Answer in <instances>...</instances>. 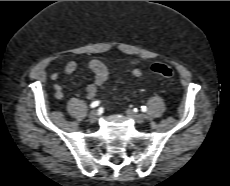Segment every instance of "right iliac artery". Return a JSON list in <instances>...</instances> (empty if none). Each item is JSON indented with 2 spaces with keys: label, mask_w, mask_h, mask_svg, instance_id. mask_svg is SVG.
Listing matches in <instances>:
<instances>
[{
  "label": "right iliac artery",
  "mask_w": 230,
  "mask_h": 186,
  "mask_svg": "<svg viewBox=\"0 0 230 186\" xmlns=\"http://www.w3.org/2000/svg\"><path fill=\"white\" fill-rule=\"evenodd\" d=\"M99 104H100L99 101H94V102L91 103L90 106H91V108H95V107H97Z\"/></svg>",
  "instance_id": "82829eb1"
}]
</instances>
